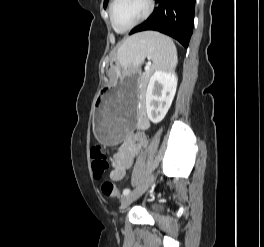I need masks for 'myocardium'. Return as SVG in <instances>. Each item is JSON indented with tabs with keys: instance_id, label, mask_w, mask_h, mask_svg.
I'll return each mask as SVG.
<instances>
[{
	"instance_id": "1",
	"label": "myocardium",
	"mask_w": 264,
	"mask_h": 247,
	"mask_svg": "<svg viewBox=\"0 0 264 247\" xmlns=\"http://www.w3.org/2000/svg\"><path fill=\"white\" fill-rule=\"evenodd\" d=\"M117 2H118V0H112L111 5L109 7V18H110V23H111L112 27L117 32H120V33L128 32V31L132 30L133 28L137 27L138 25L142 24L144 21H146L150 17V15L152 14V12L154 10V0H146L147 9H146L145 13L143 14V16L141 18H139L136 22L131 24L130 26L125 27V28H120L116 25L115 20H114V9H115Z\"/></svg>"
}]
</instances>
